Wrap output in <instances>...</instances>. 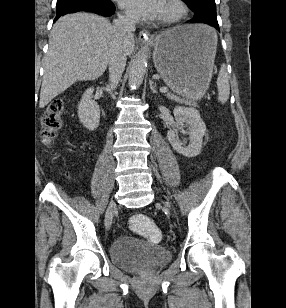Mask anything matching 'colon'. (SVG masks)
Wrapping results in <instances>:
<instances>
[{
    "mask_svg": "<svg viewBox=\"0 0 286 308\" xmlns=\"http://www.w3.org/2000/svg\"><path fill=\"white\" fill-rule=\"evenodd\" d=\"M64 112V100L53 99L47 106L41 117V141L45 144L51 143L62 128V114ZM131 227L140 235L157 243L161 240V233L154 223L143 214H135L131 221Z\"/></svg>",
    "mask_w": 286,
    "mask_h": 308,
    "instance_id": "1",
    "label": "colon"
}]
</instances>
